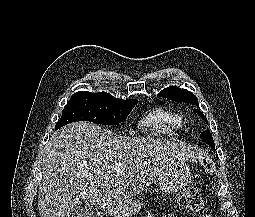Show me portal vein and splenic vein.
<instances>
[{"mask_svg":"<svg viewBox=\"0 0 255 217\" xmlns=\"http://www.w3.org/2000/svg\"><path fill=\"white\" fill-rule=\"evenodd\" d=\"M122 169V166L120 164H115L113 167H112V170H115V171H120Z\"/></svg>","mask_w":255,"mask_h":217,"instance_id":"obj_1","label":"portal vein and splenic vein"}]
</instances>
